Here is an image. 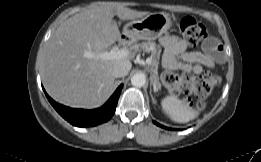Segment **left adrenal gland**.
I'll use <instances>...</instances> for the list:
<instances>
[{
    "label": "left adrenal gland",
    "instance_id": "a2214340",
    "mask_svg": "<svg viewBox=\"0 0 261 162\" xmlns=\"http://www.w3.org/2000/svg\"><path fill=\"white\" fill-rule=\"evenodd\" d=\"M151 85H152V79H151ZM150 96H151L152 102H153L154 104H156V101H155V99H154V97H153V95H152L151 86H150Z\"/></svg>",
    "mask_w": 261,
    "mask_h": 162
}]
</instances>
